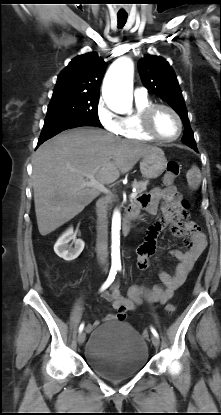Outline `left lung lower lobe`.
<instances>
[{"label":"left lung lower lobe","instance_id":"left-lung-lower-lobe-1","mask_svg":"<svg viewBox=\"0 0 221 415\" xmlns=\"http://www.w3.org/2000/svg\"><path fill=\"white\" fill-rule=\"evenodd\" d=\"M191 148H193L195 151H197V147L196 146H192Z\"/></svg>","mask_w":221,"mask_h":415}]
</instances>
